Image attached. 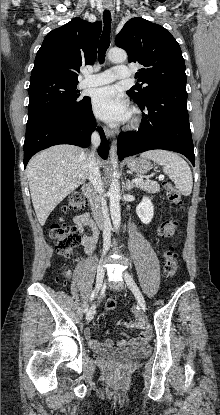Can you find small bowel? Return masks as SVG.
<instances>
[{"instance_id": "small-bowel-1", "label": "small bowel", "mask_w": 220, "mask_h": 415, "mask_svg": "<svg viewBox=\"0 0 220 415\" xmlns=\"http://www.w3.org/2000/svg\"><path fill=\"white\" fill-rule=\"evenodd\" d=\"M74 226L80 235V243L84 247V250L87 254H92L98 242V230L95 222L91 219L89 213H83L76 216L73 219ZM91 231V232H88ZM138 328H144V325L141 321L136 324ZM84 337L87 340L88 344L92 348H97L100 350H107L112 347L113 343L110 339L105 340L104 342L96 341L92 332L89 328H85L83 331ZM142 335V334H141ZM138 338L128 340L124 338L117 342V346L120 348L124 347H135L142 346L147 339H143L142 336Z\"/></svg>"}]
</instances>
